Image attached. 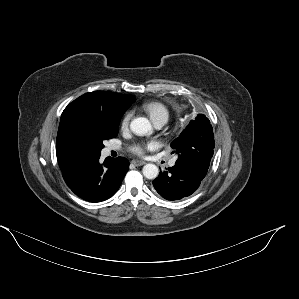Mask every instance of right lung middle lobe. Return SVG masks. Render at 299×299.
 Returning a JSON list of instances; mask_svg holds the SVG:
<instances>
[{
	"mask_svg": "<svg viewBox=\"0 0 299 299\" xmlns=\"http://www.w3.org/2000/svg\"><path fill=\"white\" fill-rule=\"evenodd\" d=\"M120 119L110 121L94 113L81 114L75 121V133L93 154L100 153L103 141L113 138L119 130Z\"/></svg>",
	"mask_w": 299,
	"mask_h": 299,
	"instance_id": "dd1d6c3e",
	"label": "right lung middle lobe"
}]
</instances>
